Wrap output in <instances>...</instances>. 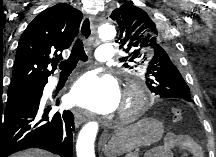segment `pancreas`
<instances>
[{"label": "pancreas", "mask_w": 216, "mask_h": 157, "mask_svg": "<svg viewBox=\"0 0 216 157\" xmlns=\"http://www.w3.org/2000/svg\"><path fill=\"white\" fill-rule=\"evenodd\" d=\"M128 157H139V154L137 152L131 153L128 155Z\"/></svg>", "instance_id": "pancreas-1"}]
</instances>
